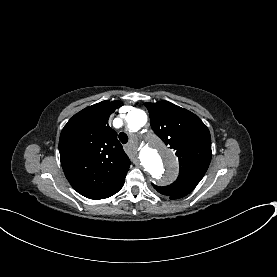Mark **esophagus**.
<instances>
[{"label":"esophagus","instance_id":"1","mask_svg":"<svg viewBox=\"0 0 277 277\" xmlns=\"http://www.w3.org/2000/svg\"><path fill=\"white\" fill-rule=\"evenodd\" d=\"M130 143H132V142L130 141L129 144H130ZM133 161H134V164H136V165H139V163H140L139 160H138L137 158H135Z\"/></svg>","mask_w":277,"mask_h":277}]
</instances>
